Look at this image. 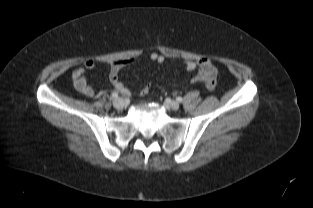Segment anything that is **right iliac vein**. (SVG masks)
Listing matches in <instances>:
<instances>
[{
  "label": "right iliac vein",
  "instance_id": "right-iliac-vein-1",
  "mask_svg": "<svg viewBox=\"0 0 313 208\" xmlns=\"http://www.w3.org/2000/svg\"><path fill=\"white\" fill-rule=\"evenodd\" d=\"M113 106L116 108V109H123L126 104H125V101L122 99V98H116L114 101H113Z\"/></svg>",
  "mask_w": 313,
  "mask_h": 208
}]
</instances>
